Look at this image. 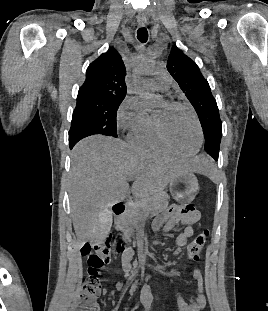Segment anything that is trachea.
Masks as SVG:
<instances>
[{
    "label": "trachea",
    "mask_w": 268,
    "mask_h": 311,
    "mask_svg": "<svg viewBox=\"0 0 268 311\" xmlns=\"http://www.w3.org/2000/svg\"><path fill=\"white\" fill-rule=\"evenodd\" d=\"M137 39L141 42V43H146L148 40V31L146 28L142 27L139 28L137 31Z\"/></svg>",
    "instance_id": "obj_1"
}]
</instances>
